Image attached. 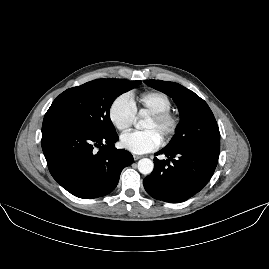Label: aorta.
I'll return each mask as SVG.
<instances>
[{"label": "aorta", "mask_w": 269, "mask_h": 269, "mask_svg": "<svg viewBox=\"0 0 269 269\" xmlns=\"http://www.w3.org/2000/svg\"><path fill=\"white\" fill-rule=\"evenodd\" d=\"M137 127L139 129H143L145 128L141 122H138ZM137 168L139 170V172L143 175H148L150 173H152L153 169H154V163L151 159L149 158H142L138 161L137 164Z\"/></svg>", "instance_id": "aorta-1"}]
</instances>
